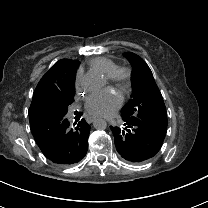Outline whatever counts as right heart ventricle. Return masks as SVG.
I'll return each instance as SVG.
<instances>
[{
	"label": "right heart ventricle",
	"mask_w": 208,
	"mask_h": 208,
	"mask_svg": "<svg viewBox=\"0 0 208 208\" xmlns=\"http://www.w3.org/2000/svg\"><path fill=\"white\" fill-rule=\"evenodd\" d=\"M90 66L99 70L107 78L112 77L119 68L114 61L106 57H99L91 60Z\"/></svg>",
	"instance_id": "obj_1"
}]
</instances>
